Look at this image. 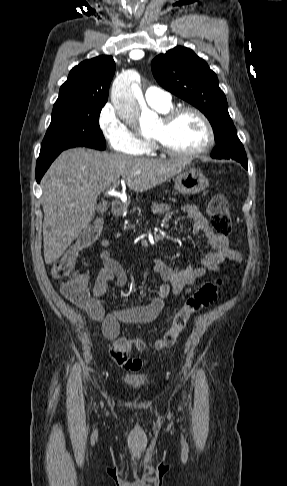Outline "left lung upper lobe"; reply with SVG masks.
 I'll use <instances>...</instances> for the list:
<instances>
[{
    "instance_id": "left-lung-upper-lobe-1",
    "label": "left lung upper lobe",
    "mask_w": 287,
    "mask_h": 486,
    "mask_svg": "<svg viewBox=\"0 0 287 486\" xmlns=\"http://www.w3.org/2000/svg\"><path fill=\"white\" fill-rule=\"evenodd\" d=\"M152 72L163 88L191 103L208 118L217 144L211 153L213 158L246 159L217 75L203 59L189 48L175 47L154 58Z\"/></svg>"
}]
</instances>
